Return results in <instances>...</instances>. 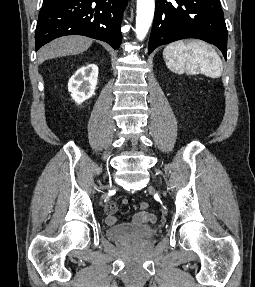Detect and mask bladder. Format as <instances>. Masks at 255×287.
<instances>
[{"label":"bladder","instance_id":"obj_1","mask_svg":"<svg viewBox=\"0 0 255 287\" xmlns=\"http://www.w3.org/2000/svg\"><path fill=\"white\" fill-rule=\"evenodd\" d=\"M157 233L154 226L149 224L125 223L110 226L106 229L109 239L115 241H142L152 239Z\"/></svg>","mask_w":255,"mask_h":287}]
</instances>
